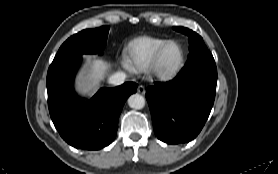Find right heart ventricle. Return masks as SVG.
Here are the masks:
<instances>
[{"instance_id":"e07e8e85","label":"right heart ventricle","mask_w":278,"mask_h":174,"mask_svg":"<svg viewBox=\"0 0 278 174\" xmlns=\"http://www.w3.org/2000/svg\"><path fill=\"white\" fill-rule=\"evenodd\" d=\"M167 40L157 37H140L128 46V57L133 69L144 71L148 69L155 51Z\"/></svg>"}]
</instances>
